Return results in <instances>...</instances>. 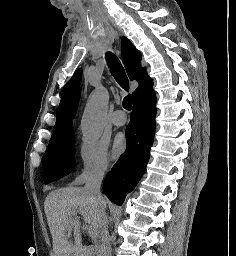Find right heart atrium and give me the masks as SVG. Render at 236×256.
Masks as SVG:
<instances>
[{"label": "right heart atrium", "instance_id": "d8ad5b80", "mask_svg": "<svg viewBox=\"0 0 236 256\" xmlns=\"http://www.w3.org/2000/svg\"><path fill=\"white\" fill-rule=\"evenodd\" d=\"M110 166L105 145L94 142H83L76 155V173L73 184H83L90 180L104 178Z\"/></svg>", "mask_w": 236, "mask_h": 256}]
</instances>
